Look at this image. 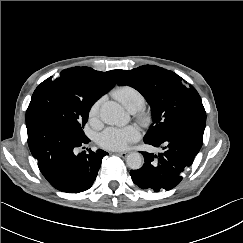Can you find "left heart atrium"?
<instances>
[{
  "label": "left heart atrium",
  "instance_id": "left-heart-atrium-1",
  "mask_svg": "<svg viewBox=\"0 0 243 243\" xmlns=\"http://www.w3.org/2000/svg\"><path fill=\"white\" fill-rule=\"evenodd\" d=\"M140 137L139 129L134 125L126 127H109L98 136V144L110 150L126 149L132 142Z\"/></svg>",
  "mask_w": 243,
  "mask_h": 243
}]
</instances>
